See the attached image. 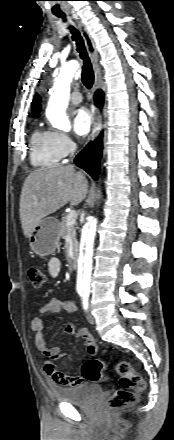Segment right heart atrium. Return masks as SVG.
Returning <instances> with one entry per match:
<instances>
[{"instance_id":"d8ad5b80","label":"right heart atrium","mask_w":174,"mask_h":440,"mask_svg":"<svg viewBox=\"0 0 174 440\" xmlns=\"http://www.w3.org/2000/svg\"><path fill=\"white\" fill-rule=\"evenodd\" d=\"M54 145L61 158L68 157L74 151V142L71 137L62 131L53 132Z\"/></svg>"}]
</instances>
